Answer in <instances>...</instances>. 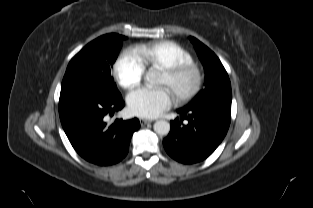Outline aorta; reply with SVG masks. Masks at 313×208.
<instances>
[{
    "instance_id": "1",
    "label": "aorta",
    "mask_w": 313,
    "mask_h": 208,
    "mask_svg": "<svg viewBox=\"0 0 313 208\" xmlns=\"http://www.w3.org/2000/svg\"><path fill=\"white\" fill-rule=\"evenodd\" d=\"M145 80L150 84H155L158 79V74L153 71L149 70L145 74ZM154 131L159 135H167L170 132V123L166 120H159L154 123Z\"/></svg>"
}]
</instances>
